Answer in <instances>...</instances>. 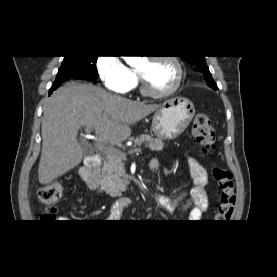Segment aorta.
<instances>
[{
    "label": "aorta",
    "instance_id": "aorta-1",
    "mask_svg": "<svg viewBox=\"0 0 277 277\" xmlns=\"http://www.w3.org/2000/svg\"><path fill=\"white\" fill-rule=\"evenodd\" d=\"M126 60L130 63L136 62V57L135 56H125Z\"/></svg>",
    "mask_w": 277,
    "mask_h": 277
}]
</instances>
